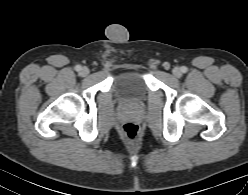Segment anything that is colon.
I'll list each match as a JSON object with an SVG mask.
<instances>
[{"label": "colon", "mask_w": 248, "mask_h": 195, "mask_svg": "<svg viewBox=\"0 0 248 195\" xmlns=\"http://www.w3.org/2000/svg\"><path fill=\"white\" fill-rule=\"evenodd\" d=\"M139 127L133 122H127L122 126V135L129 142H135L139 137Z\"/></svg>", "instance_id": "obj_1"}]
</instances>
